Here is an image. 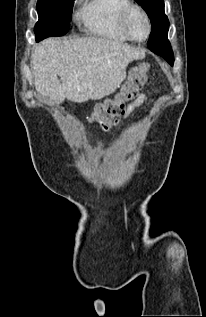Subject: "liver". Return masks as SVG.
<instances>
[{
	"label": "liver",
	"instance_id": "1",
	"mask_svg": "<svg viewBox=\"0 0 206 317\" xmlns=\"http://www.w3.org/2000/svg\"><path fill=\"white\" fill-rule=\"evenodd\" d=\"M144 57L141 49L100 37L48 38L33 50L35 88L56 104L99 100L116 91L130 62Z\"/></svg>",
	"mask_w": 206,
	"mask_h": 317
}]
</instances>
